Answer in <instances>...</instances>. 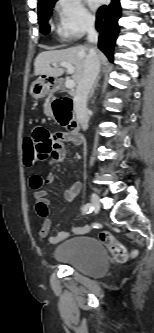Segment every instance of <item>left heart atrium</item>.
Returning <instances> with one entry per match:
<instances>
[{
  "mask_svg": "<svg viewBox=\"0 0 154 333\" xmlns=\"http://www.w3.org/2000/svg\"><path fill=\"white\" fill-rule=\"evenodd\" d=\"M102 0H89V4L92 8H97Z\"/></svg>",
  "mask_w": 154,
  "mask_h": 333,
  "instance_id": "obj_1",
  "label": "left heart atrium"
}]
</instances>
